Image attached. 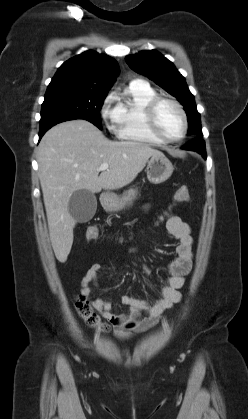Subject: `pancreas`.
Instances as JSON below:
<instances>
[{"instance_id":"obj_1","label":"pancreas","mask_w":248,"mask_h":419,"mask_svg":"<svg viewBox=\"0 0 248 419\" xmlns=\"http://www.w3.org/2000/svg\"><path fill=\"white\" fill-rule=\"evenodd\" d=\"M129 192H130V193H133L134 191H133V190H130Z\"/></svg>"}]
</instances>
